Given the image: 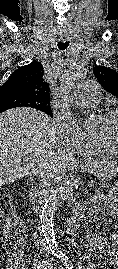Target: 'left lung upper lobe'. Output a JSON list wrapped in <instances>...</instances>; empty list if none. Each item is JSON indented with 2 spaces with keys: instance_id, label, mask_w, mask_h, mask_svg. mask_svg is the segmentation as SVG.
Wrapping results in <instances>:
<instances>
[{
  "instance_id": "1",
  "label": "left lung upper lobe",
  "mask_w": 118,
  "mask_h": 269,
  "mask_svg": "<svg viewBox=\"0 0 118 269\" xmlns=\"http://www.w3.org/2000/svg\"><path fill=\"white\" fill-rule=\"evenodd\" d=\"M93 73L107 92L118 97V73L116 71L105 66H95Z\"/></svg>"
}]
</instances>
